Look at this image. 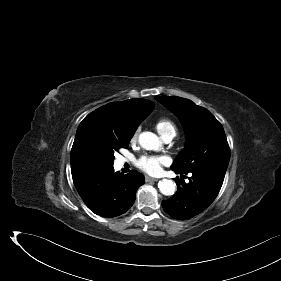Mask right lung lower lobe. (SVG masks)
<instances>
[{
  "mask_svg": "<svg viewBox=\"0 0 281 281\" xmlns=\"http://www.w3.org/2000/svg\"><path fill=\"white\" fill-rule=\"evenodd\" d=\"M145 178L132 170L129 174L114 173L113 166L88 175L74 183L88 208L97 215L115 217L126 212L135 201V193Z\"/></svg>",
  "mask_w": 281,
  "mask_h": 281,
  "instance_id": "98d812e1",
  "label": "right lung lower lobe"
}]
</instances>
